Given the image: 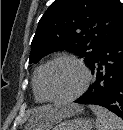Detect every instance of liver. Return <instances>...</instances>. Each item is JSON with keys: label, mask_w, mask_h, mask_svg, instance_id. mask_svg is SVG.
Wrapping results in <instances>:
<instances>
[{"label": "liver", "mask_w": 123, "mask_h": 130, "mask_svg": "<svg viewBox=\"0 0 123 130\" xmlns=\"http://www.w3.org/2000/svg\"><path fill=\"white\" fill-rule=\"evenodd\" d=\"M83 108L79 105L68 106H43L36 109L29 120L27 128L33 130H48L63 119L74 116L82 112Z\"/></svg>", "instance_id": "1"}]
</instances>
